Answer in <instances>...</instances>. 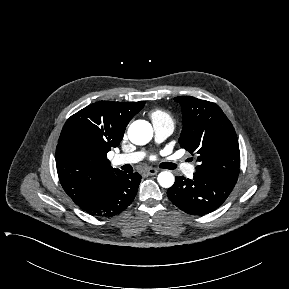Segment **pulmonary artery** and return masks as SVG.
Listing matches in <instances>:
<instances>
[{
    "instance_id": "e3ab8cb5",
    "label": "pulmonary artery",
    "mask_w": 289,
    "mask_h": 289,
    "mask_svg": "<svg viewBox=\"0 0 289 289\" xmlns=\"http://www.w3.org/2000/svg\"><path fill=\"white\" fill-rule=\"evenodd\" d=\"M155 139L160 142L165 140L168 136H170L174 130V126L171 124H162L156 123L153 124ZM144 157L143 152H134L129 154H119L113 158V163L115 165H123V164H133L137 163ZM182 170L187 175H192L195 171V166L191 164L183 165Z\"/></svg>"
}]
</instances>
